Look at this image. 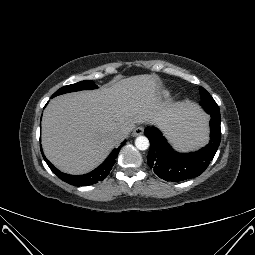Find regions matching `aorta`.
<instances>
[{"mask_svg": "<svg viewBox=\"0 0 255 255\" xmlns=\"http://www.w3.org/2000/svg\"><path fill=\"white\" fill-rule=\"evenodd\" d=\"M150 143H149V139L146 136H138L135 139V146L137 149L139 150H146L148 149Z\"/></svg>", "mask_w": 255, "mask_h": 255, "instance_id": "762f6f07", "label": "aorta"}]
</instances>
